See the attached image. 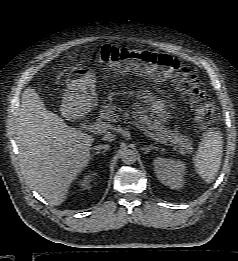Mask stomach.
I'll use <instances>...</instances> for the list:
<instances>
[{
    "label": "stomach",
    "instance_id": "stomach-1",
    "mask_svg": "<svg viewBox=\"0 0 238 261\" xmlns=\"http://www.w3.org/2000/svg\"><path fill=\"white\" fill-rule=\"evenodd\" d=\"M67 90L63 99V106L73 114L89 112L97 103L95 92V74L88 69L75 67L70 70L66 78Z\"/></svg>",
    "mask_w": 238,
    "mask_h": 261
}]
</instances>
